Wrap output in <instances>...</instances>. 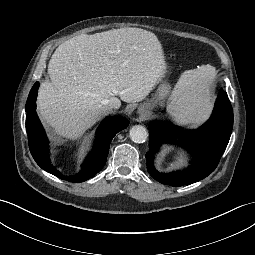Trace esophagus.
<instances>
[{"label":"esophagus","instance_id":"34e87169","mask_svg":"<svg viewBox=\"0 0 255 255\" xmlns=\"http://www.w3.org/2000/svg\"><path fill=\"white\" fill-rule=\"evenodd\" d=\"M139 112H140L141 114H145V113H146V110H144V109H142V108H139Z\"/></svg>","mask_w":255,"mask_h":255}]
</instances>
